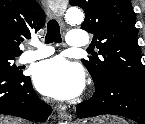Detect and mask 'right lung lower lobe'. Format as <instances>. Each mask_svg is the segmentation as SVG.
Listing matches in <instances>:
<instances>
[{
  "mask_svg": "<svg viewBox=\"0 0 145 124\" xmlns=\"http://www.w3.org/2000/svg\"><path fill=\"white\" fill-rule=\"evenodd\" d=\"M51 111L35 93L30 77L0 70V114L45 121Z\"/></svg>",
  "mask_w": 145,
  "mask_h": 124,
  "instance_id": "right-lung-lower-lobe-1",
  "label": "right lung lower lobe"
}]
</instances>
